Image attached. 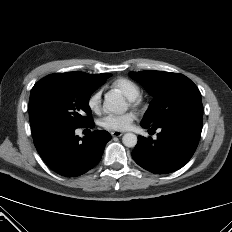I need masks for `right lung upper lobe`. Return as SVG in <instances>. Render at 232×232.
<instances>
[{
	"label": "right lung upper lobe",
	"mask_w": 232,
	"mask_h": 232,
	"mask_svg": "<svg viewBox=\"0 0 232 232\" xmlns=\"http://www.w3.org/2000/svg\"><path fill=\"white\" fill-rule=\"evenodd\" d=\"M89 75H91V74H89ZM91 76L94 77V78L99 79V78H102L104 76V73L103 74H98V75H91Z\"/></svg>",
	"instance_id": "cb5924a9"
}]
</instances>
